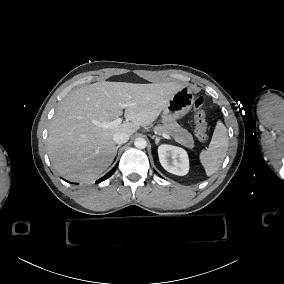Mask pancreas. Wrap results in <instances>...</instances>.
<instances>
[{
  "mask_svg": "<svg viewBox=\"0 0 284 284\" xmlns=\"http://www.w3.org/2000/svg\"><path fill=\"white\" fill-rule=\"evenodd\" d=\"M155 131L159 135L167 134L175 139V141L185 148L192 150L194 148V139L191 133L183 129L176 121L166 118L163 126L155 127Z\"/></svg>",
  "mask_w": 284,
  "mask_h": 284,
  "instance_id": "1",
  "label": "pancreas"
}]
</instances>
